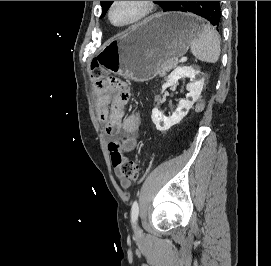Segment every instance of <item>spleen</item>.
Listing matches in <instances>:
<instances>
[{"label":"spleen","mask_w":271,"mask_h":266,"mask_svg":"<svg viewBox=\"0 0 271 266\" xmlns=\"http://www.w3.org/2000/svg\"><path fill=\"white\" fill-rule=\"evenodd\" d=\"M191 52L200 61L216 63L220 56V37L209 24L203 25L199 35L191 42Z\"/></svg>","instance_id":"spleen-1"}]
</instances>
